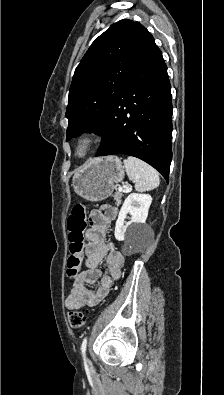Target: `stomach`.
I'll use <instances>...</instances> for the list:
<instances>
[{"instance_id": "stomach-1", "label": "stomach", "mask_w": 224, "mask_h": 395, "mask_svg": "<svg viewBox=\"0 0 224 395\" xmlns=\"http://www.w3.org/2000/svg\"><path fill=\"white\" fill-rule=\"evenodd\" d=\"M124 166L116 156L87 161L73 176L72 186L77 195L89 201H101L123 180Z\"/></svg>"}]
</instances>
